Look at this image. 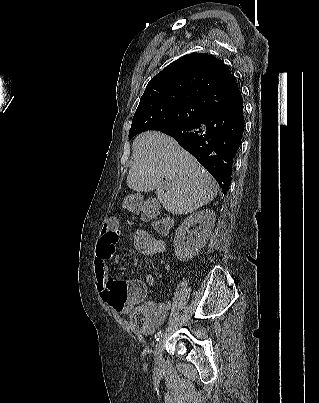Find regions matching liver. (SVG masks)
<instances>
[{"label":"liver","instance_id":"liver-1","mask_svg":"<svg viewBox=\"0 0 319 403\" xmlns=\"http://www.w3.org/2000/svg\"><path fill=\"white\" fill-rule=\"evenodd\" d=\"M132 149L127 186L136 192L156 190L168 212L188 214L217 196L216 181L174 138L159 131L143 132Z\"/></svg>","mask_w":319,"mask_h":403}]
</instances>
